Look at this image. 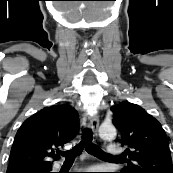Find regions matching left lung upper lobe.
<instances>
[{
  "mask_svg": "<svg viewBox=\"0 0 173 173\" xmlns=\"http://www.w3.org/2000/svg\"><path fill=\"white\" fill-rule=\"evenodd\" d=\"M113 124L121 132L128 164L120 173H173L171 153L160 122L128 101L111 108Z\"/></svg>",
  "mask_w": 173,
  "mask_h": 173,
  "instance_id": "obj_1",
  "label": "left lung upper lobe"
}]
</instances>
